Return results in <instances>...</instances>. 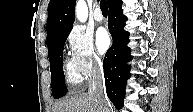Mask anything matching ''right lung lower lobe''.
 Segmentation results:
<instances>
[{
    "label": "right lung lower lobe",
    "mask_w": 193,
    "mask_h": 112,
    "mask_svg": "<svg viewBox=\"0 0 193 112\" xmlns=\"http://www.w3.org/2000/svg\"><path fill=\"white\" fill-rule=\"evenodd\" d=\"M122 0L109 7L108 26L113 38L111 48L103 61L106 92L117 109H121L125 97L126 81L129 78L128 61L131 60L129 33L123 28L127 18L122 14Z\"/></svg>",
    "instance_id": "right-lung-lower-lobe-1"
}]
</instances>
